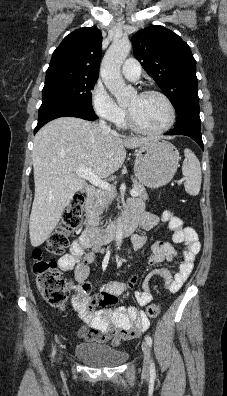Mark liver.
Masks as SVG:
<instances>
[{
  "instance_id": "1",
  "label": "liver",
  "mask_w": 227,
  "mask_h": 396,
  "mask_svg": "<svg viewBox=\"0 0 227 396\" xmlns=\"http://www.w3.org/2000/svg\"><path fill=\"white\" fill-rule=\"evenodd\" d=\"M153 137H122L97 124L76 117H61L42 127L32 152L35 196L29 234L33 247L40 246L57 226L73 195L86 184L74 173L80 167L100 178L116 172L134 149Z\"/></svg>"
}]
</instances>
